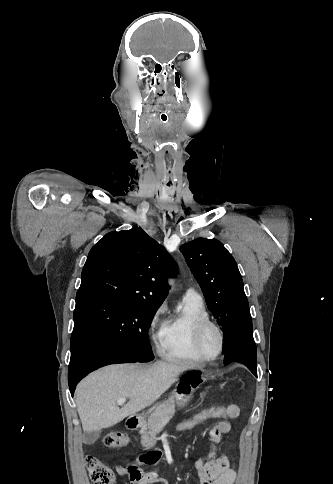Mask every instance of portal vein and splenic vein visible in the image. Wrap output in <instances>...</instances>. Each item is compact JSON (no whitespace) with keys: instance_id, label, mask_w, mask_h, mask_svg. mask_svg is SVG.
Returning <instances> with one entry per match:
<instances>
[{"instance_id":"portal-vein-and-splenic-vein-1","label":"portal vein and splenic vein","mask_w":333,"mask_h":484,"mask_svg":"<svg viewBox=\"0 0 333 484\" xmlns=\"http://www.w3.org/2000/svg\"><path fill=\"white\" fill-rule=\"evenodd\" d=\"M126 402V398L125 397H121L117 400V404L118 405H123L124 403Z\"/></svg>"}]
</instances>
